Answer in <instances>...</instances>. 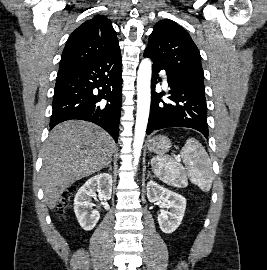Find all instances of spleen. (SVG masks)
Wrapping results in <instances>:
<instances>
[{
	"mask_svg": "<svg viewBox=\"0 0 267 270\" xmlns=\"http://www.w3.org/2000/svg\"><path fill=\"white\" fill-rule=\"evenodd\" d=\"M181 158L185 168L180 164V159L170 156L153 158L151 163L155 175L165 183L180 188L187 186L188 177L202 191L208 192L212 185V163L201 143L192 137L187 139L181 150Z\"/></svg>",
	"mask_w": 267,
	"mask_h": 270,
	"instance_id": "spleen-1",
	"label": "spleen"
}]
</instances>
